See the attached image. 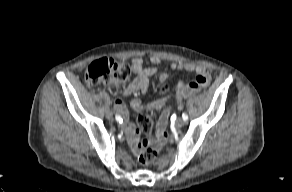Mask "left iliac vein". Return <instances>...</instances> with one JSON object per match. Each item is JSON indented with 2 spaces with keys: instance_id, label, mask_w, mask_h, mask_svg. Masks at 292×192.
<instances>
[{
  "instance_id": "4c4485c4",
  "label": "left iliac vein",
  "mask_w": 292,
  "mask_h": 192,
  "mask_svg": "<svg viewBox=\"0 0 292 192\" xmlns=\"http://www.w3.org/2000/svg\"><path fill=\"white\" fill-rule=\"evenodd\" d=\"M184 120L182 118H178L175 122L176 127L180 128L184 125Z\"/></svg>"
}]
</instances>
